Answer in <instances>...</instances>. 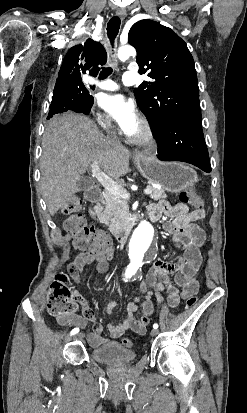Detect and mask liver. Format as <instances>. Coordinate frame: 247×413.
I'll return each mask as SVG.
<instances>
[{
  "label": "liver",
  "mask_w": 247,
  "mask_h": 413,
  "mask_svg": "<svg viewBox=\"0 0 247 413\" xmlns=\"http://www.w3.org/2000/svg\"><path fill=\"white\" fill-rule=\"evenodd\" d=\"M42 150L40 186L50 215L79 190L77 180L93 160L116 180L129 168L126 146L108 142L94 120L76 112L51 118L43 134Z\"/></svg>",
  "instance_id": "1"
}]
</instances>
